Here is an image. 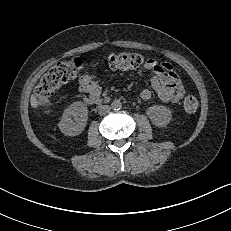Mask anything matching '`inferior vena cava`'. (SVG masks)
<instances>
[{
    "mask_svg": "<svg viewBox=\"0 0 231 231\" xmlns=\"http://www.w3.org/2000/svg\"><path fill=\"white\" fill-rule=\"evenodd\" d=\"M111 107L109 105H102L99 107V115L103 116L110 112Z\"/></svg>",
    "mask_w": 231,
    "mask_h": 231,
    "instance_id": "1",
    "label": "inferior vena cava"
}]
</instances>
